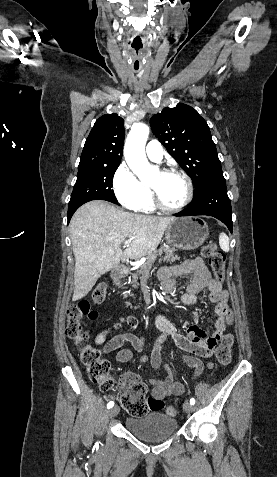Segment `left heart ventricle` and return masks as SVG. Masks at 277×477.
<instances>
[{"label":"left heart ventricle","mask_w":277,"mask_h":477,"mask_svg":"<svg viewBox=\"0 0 277 477\" xmlns=\"http://www.w3.org/2000/svg\"><path fill=\"white\" fill-rule=\"evenodd\" d=\"M163 203L169 207L180 205L186 196V184L184 180L175 174H163L157 172L150 181Z\"/></svg>","instance_id":"obj_1"}]
</instances>
